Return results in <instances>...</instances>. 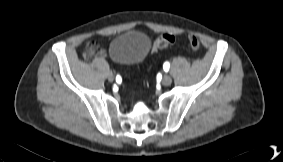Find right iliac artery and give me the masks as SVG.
<instances>
[{
	"mask_svg": "<svg viewBox=\"0 0 283 162\" xmlns=\"http://www.w3.org/2000/svg\"><path fill=\"white\" fill-rule=\"evenodd\" d=\"M122 79H121V74L117 73V83H121Z\"/></svg>",
	"mask_w": 283,
	"mask_h": 162,
	"instance_id": "82829eb1",
	"label": "right iliac artery"
}]
</instances>
